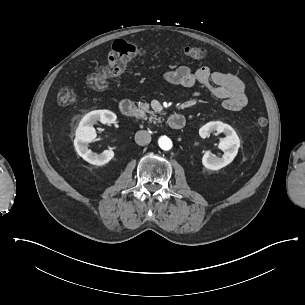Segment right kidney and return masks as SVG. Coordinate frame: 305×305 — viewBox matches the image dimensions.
<instances>
[{
  "instance_id": "1",
  "label": "right kidney",
  "mask_w": 305,
  "mask_h": 305,
  "mask_svg": "<svg viewBox=\"0 0 305 305\" xmlns=\"http://www.w3.org/2000/svg\"><path fill=\"white\" fill-rule=\"evenodd\" d=\"M116 120V115L110 111H93L87 114L80 122L76 131L74 146L77 154L86 162L95 166H102L109 163L114 158L112 150H105L102 154H96L91 149L87 148L88 143L96 138V133L93 124L99 121L103 124L113 123Z\"/></svg>"
}]
</instances>
